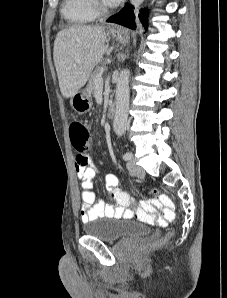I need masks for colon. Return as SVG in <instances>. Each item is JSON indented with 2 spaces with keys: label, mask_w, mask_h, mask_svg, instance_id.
Masks as SVG:
<instances>
[{
  "label": "colon",
  "mask_w": 227,
  "mask_h": 298,
  "mask_svg": "<svg viewBox=\"0 0 227 298\" xmlns=\"http://www.w3.org/2000/svg\"><path fill=\"white\" fill-rule=\"evenodd\" d=\"M70 140L73 148L77 150H86L88 151L92 143V135L87 127V125L81 121H73L69 127ZM152 194L154 200L149 202L150 205L161 206L164 211V217L167 221H170L174 218L173 203L171 200L165 196L160 195L157 190H153ZM172 233H168L164 238L159 241L146 244L142 247L143 251L155 249L160 245L164 244L170 237Z\"/></svg>",
  "instance_id": "1"
}]
</instances>
